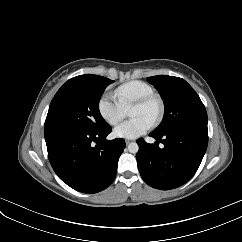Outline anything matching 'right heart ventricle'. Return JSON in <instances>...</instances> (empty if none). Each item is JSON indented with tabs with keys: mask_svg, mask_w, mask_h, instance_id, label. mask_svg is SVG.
I'll list each match as a JSON object with an SVG mask.
<instances>
[{
	"mask_svg": "<svg viewBox=\"0 0 242 242\" xmlns=\"http://www.w3.org/2000/svg\"><path fill=\"white\" fill-rule=\"evenodd\" d=\"M152 93H154L153 88L139 80L127 82L114 92L116 99L125 109H129L135 101Z\"/></svg>",
	"mask_w": 242,
	"mask_h": 242,
	"instance_id": "e07e8e85",
	"label": "right heart ventricle"
}]
</instances>
